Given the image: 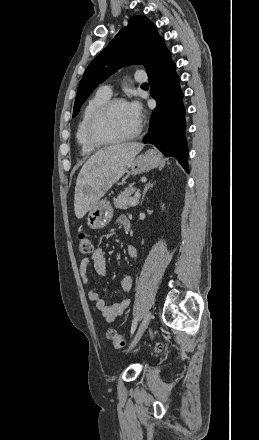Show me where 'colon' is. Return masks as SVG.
Wrapping results in <instances>:
<instances>
[{"instance_id": "5ec220e1", "label": "colon", "mask_w": 259, "mask_h": 440, "mask_svg": "<svg viewBox=\"0 0 259 440\" xmlns=\"http://www.w3.org/2000/svg\"><path fill=\"white\" fill-rule=\"evenodd\" d=\"M77 249L80 254H89L92 251V243L89 237L81 232L78 235L77 238ZM108 339L112 343V345L116 348H122L126 345L125 339L123 336L116 330H109L108 331ZM162 346L160 344H157L155 346L156 350H160Z\"/></svg>"}]
</instances>
